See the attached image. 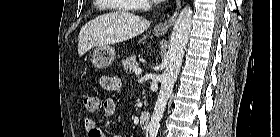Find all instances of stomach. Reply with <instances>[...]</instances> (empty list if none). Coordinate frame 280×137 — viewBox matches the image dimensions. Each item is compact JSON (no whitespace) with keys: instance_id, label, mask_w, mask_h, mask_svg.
Returning <instances> with one entry per match:
<instances>
[{"instance_id":"stomach-1","label":"stomach","mask_w":280,"mask_h":137,"mask_svg":"<svg viewBox=\"0 0 280 137\" xmlns=\"http://www.w3.org/2000/svg\"><path fill=\"white\" fill-rule=\"evenodd\" d=\"M156 35H160L158 31H155ZM115 59V50L113 47L107 45L103 47H97L92 55V64L98 69H104L112 64Z\"/></svg>"}]
</instances>
